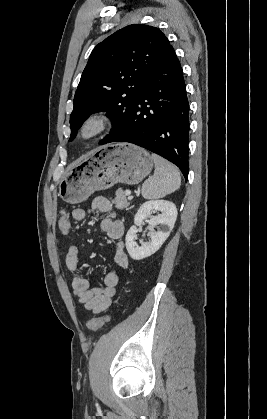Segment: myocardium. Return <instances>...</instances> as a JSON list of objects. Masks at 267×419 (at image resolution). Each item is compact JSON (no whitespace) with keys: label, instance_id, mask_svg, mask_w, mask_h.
Segmentation results:
<instances>
[{"label":"myocardium","instance_id":"f54148a6","mask_svg":"<svg viewBox=\"0 0 267 419\" xmlns=\"http://www.w3.org/2000/svg\"><path fill=\"white\" fill-rule=\"evenodd\" d=\"M112 123L108 111L98 110L88 114L78 129V136L82 141H91L102 135Z\"/></svg>","mask_w":267,"mask_h":419}]
</instances>
